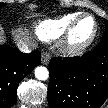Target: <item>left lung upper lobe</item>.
Masks as SVG:
<instances>
[{
	"mask_svg": "<svg viewBox=\"0 0 108 108\" xmlns=\"http://www.w3.org/2000/svg\"><path fill=\"white\" fill-rule=\"evenodd\" d=\"M102 40H108V21L107 20H106V30H105V32H104V34L102 36L101 41Z\"/></svg>",
	"mask_w": 108,
	"mask_h": 108,
	"instance_id": "5c2ea615",
	"label": "left lung upper lobe"
}]
</instances>
